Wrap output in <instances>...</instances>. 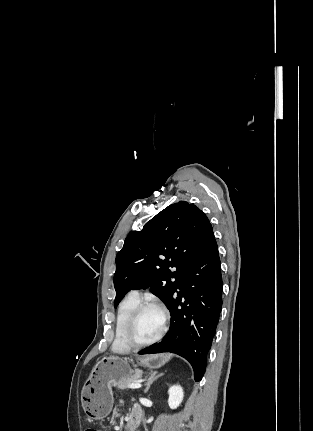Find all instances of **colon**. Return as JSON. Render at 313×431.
<instances>
[{
  "label": "colon",
  "mask_w": 313,
  "mask_h": 431,
  "mask_svg": "<svg viewBox=\"0 0 313 431\" xmlns=\"http://www.w3.org/2000/svg\"><path fill=\"white\" fill-rule=\"evenodd\" d=\"M86 431H100V430H98L97 428H88L86 429Z\"/></svg>",
  "instance_id": "obj_1"
}]
</instances>
